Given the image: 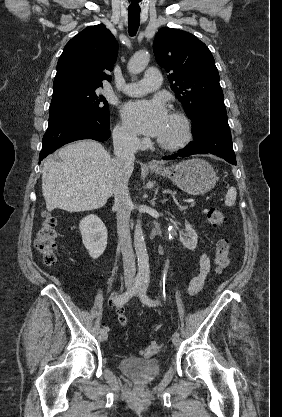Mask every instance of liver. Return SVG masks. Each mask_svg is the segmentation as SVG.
Instances as JSON below:
<instances>
[{"label": "liver", "mask_w": 282, "mask_h": 417, "mask_svg": "<svg viewBox=\"0 0 282 417\" xmlns=\"http://www.w3.org/2000/svg\"><path fill=\"white\" fill-rule=\"evenodd\" d=\"M60 160L46 158L42 192L47 211H94L113 194L115 164L97 140H78L58 150Z\"/></svg>", "instance_id": "1"}]
</instances>
